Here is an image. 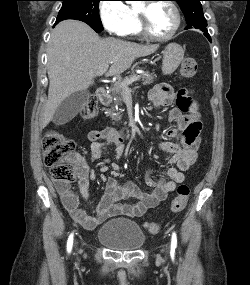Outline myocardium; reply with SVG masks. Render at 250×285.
<instances>
[{
  "label": "myocardium",
  "instance_id": "f54148a6",
  "mask_svg": "<svg viewBox=\"0 0 250 285\" xmlns=\"http://www.w3.org/2000/svg\"><path fill=\"white\" fill-rule=\"evenodd\" d=\"M153 3H155V2H145V3H143V7H137L136 8L140 32L145 38L152 40V41H156V42L169 41L176 35L178 30L180 29L181 22H182L180 10H179L178 6L172 0H164L163 2H160V3L167 4L173 10L174 15H175V25L169 34H167L165 36H157V35H154L149 28L147 11H146V7L150 4H153Z\"/></svg>",
  "mask_w": 250,
  "mask_h": 285
}]
</instances>
